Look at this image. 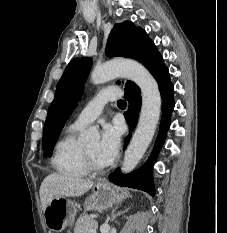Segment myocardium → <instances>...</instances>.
I'll return each instance as SVG.
<instances>
[{
  "instance_id": "obj_1",
  "label": "myocardium",
  "mask_w": 227,
  "mask_h": 233,
  "mask_svg": "<svg viewBox=\"0 0 227 233\" xmlns=\"http://www.w3.org/2000/svg\"><path fill=\"white\" fill-rule=\"evenodd\" d=\"M82 152H83L84 164L88 172L98 174V173L104 172L106 168L108 167L107 164L98 165L97 163H95V161L90 156V154L88 153L85 147H83Z\"/></svg>"
}]
</instances>
